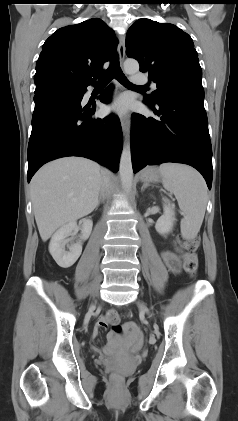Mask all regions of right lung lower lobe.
I'll return each mask as SVG.
<instances>
[{
    "instance_id": "obj_1",
    "label": "right lung lower lobe",
    "mask_w": 238,
    "mask_h": 421,
    "mask_svg": "<svg viewBox=\"0 0 238 421\" xmlns=\"http://www.w3.org/2000/svg\"><path fill=\"white\" fill-rule=\"evenodd\" d=\"M87 85L59 82L36 84L32 132L28 144V181L46 162L82 156L118 171L122 129L118 117L91 119L95 105L82 106ZM110 88L100 101H110Z\"/></svg>"
}]
</instances>
